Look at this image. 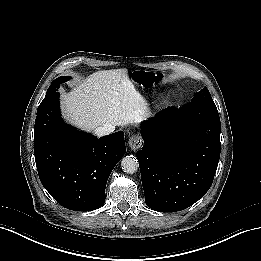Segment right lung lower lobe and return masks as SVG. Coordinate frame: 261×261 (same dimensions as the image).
I'll list each match as a JSON object with an SVG mask.
<instances>
[{"mask_svg": "<svg viewBox=\"0 0 261 261\" xmlns=\"http://www.w3.org/2000/svg\"><path fill=\"white\" fill-rule=\"evenodd\" d=\"M125 151L122 131L97 139L65 125L58 92L38 107L36 166L42 185L63 207L74 211L101 207L108 177Z\"/></svg>", "mask_w": 261, "mask_h": 261, "instance_id": "right-lung-lower-lobe-1", "label": "right lung lower lobe"}]
</instances>
